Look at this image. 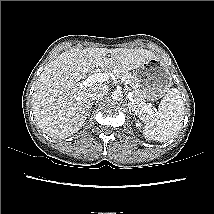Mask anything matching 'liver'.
<instances>
[{
  "instance_id": "obj_1",
  "label": "liver",
  "mask_w": 214,
  "mask_h": 214,
  "mask_svg": "<svg viewBox=\"0 0 214 214\" xmlns=\"http://www.w3.org/2000/svg\"><path fill=\"white\" fill-rule=\"evenodd\" d=\"M152 58L156 55L142 48H75L61 53L46 65L35 86L32 108L38 127L53 139L72 136L90 114L92 88L102 84L83 88V77L95 67L134 70Z\"/></svg>"
}]
</instances>
